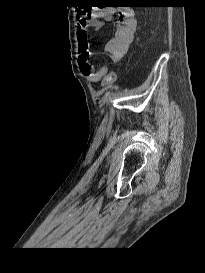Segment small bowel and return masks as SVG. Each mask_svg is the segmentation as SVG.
Listing matches in <instances>:
<instances>
[{
    "instance_id": "c3829d8e",
    "label": "small bowel",
    "mask_w": 205,
    "mask_h": 273,
    "mask_svg": "<svg viewBox=\"0 0 205 273\" xmlns=\"http://www.w3.org/2000/svg\"><path fill=\"white\" fill-rule=\"evenodd\" d=\"M115 9L103 8L97 12L79 14L77 16V40L79 42L78 64L82 74L92 83H96L108 75V68L103 66L99 69L90 62L91 45L89 43V29H98L103 20L110 21ZM137 29V20L129 10L118 11V22L114 35L105 45L112 62L117 63L126 55Z\"/></svg>"
}]
</instances>
